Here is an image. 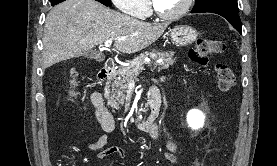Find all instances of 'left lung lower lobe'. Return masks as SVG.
<instances>
[{
    "mask_svg": "<svg viewBox=\"0 0 277 166\" xmlns=\"http://www.w3.org/2000/svg\"><path fill=\"white\" fill-rule=\"evenodd\" d=\"M211 13H216L221 16H223L225 19L229 21V23L240 33L242 34V29H241V20L238 15V13H232L228 11H209Z\"/></svg>",
    "mask_w": 277,
    "mask_h": 166,
    "instance_id": "1",
    "label": "left lung lower lobe"
}]
</instances>
